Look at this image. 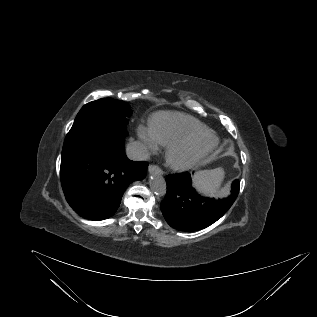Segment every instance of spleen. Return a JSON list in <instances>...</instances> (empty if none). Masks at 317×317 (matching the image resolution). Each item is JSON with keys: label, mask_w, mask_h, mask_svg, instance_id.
Returning <instances> with one entry per match:
<instances>
[{"label": "spleen", "mask_w": 317, "mask_h": 317, "mask_svg": "<svg viewBox=\"0 0 317 317\" xmlns=\"http://www.w3.org/2000/svg\"><path fill=\"white\" fill-rule=\"evenodd\" d=\"M223 179L224 170L222 168L204 170L196 173L193 179V185L202 194L214 196Z\"/></svg>", "instance_id": "3e777b00"}]
</instances>
